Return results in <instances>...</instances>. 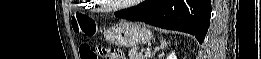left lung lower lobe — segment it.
<instances>
[{"mask_svg": "<svg viewBox=\"0 0 261 59\" xmlns=\"http://www.w3.org/2000/svg\"><path fill=\"white\" fill-rule=\"evenodd\" d=\"M210 8L211 0H145L135 8L116 13V17L186 32L203 43L210 25Z\"/></svg>", "mask_w": 261, "mask_h": 59, "instance_id": "obj_1", "label": "left lung lower lobe"}]
</instances>
